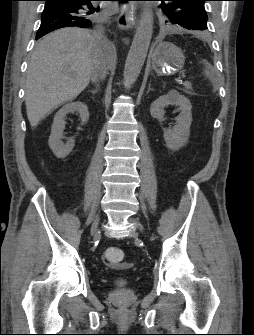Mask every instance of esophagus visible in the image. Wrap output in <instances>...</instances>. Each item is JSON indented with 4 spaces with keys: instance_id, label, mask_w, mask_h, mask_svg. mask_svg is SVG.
I'll list each match as a JSON object with an SVG mask.
<instances>
[{
    "instance_id": "1",
    "label": "esophagus",
    "mask_w": 254,
    "mask_h": 335,
    "mask_svg": "<svg viewBox=\"0 0 254 335\" xmlns=\"http://www.w3.org/2000/svg\"><path fill=\"white\" fill-rule=\"evenodd\" d=\"M117 23H118V26L123 30L133 29L137 23L135 7L131 5L130 10H126L125 8H122L117 17ZM123 41L126 44L129 43V40L127 38H124Z\"/></svg>"
}]
</instances>
